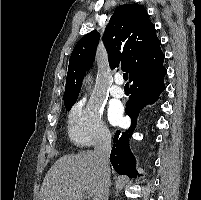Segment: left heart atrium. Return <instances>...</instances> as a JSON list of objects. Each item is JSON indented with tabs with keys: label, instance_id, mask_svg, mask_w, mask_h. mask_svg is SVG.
<instances>
[{
	"label": "left heart atrium",
	"instance_id": "1",
	"mask_svg": "<svg viewBox=\"0 0 201 200\" xmlns=\"http://www.w3.org/2000/svg\"><path fill=\"white\" fill-rule=\"evenodd\" d=\"M110 119L115 123L119 122L121 119L120 109H118V108L112 109L110 112Z\"/></svg>",
	"mask_w": 201,
	"mask_h": 200
}]
</instances>
